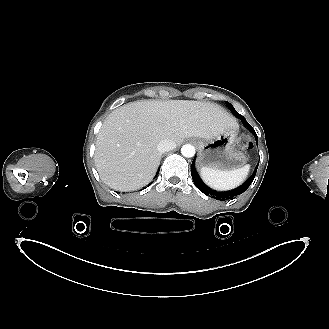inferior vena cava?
Returning a JSON list of instances; mask_svg holds the SVG:
<instances>
[{"label": "inferior vena cava", "mask_w": 329, "mask_h": 329, "mask_svg": "<svg viewBox=\"0 0 329 329\" xmlns=\"http://www.w3.org/2000/svg\"><path fill=\"white\" fill-rule=\"evenodd\" d=\"M176 147V143L171 139L161 140L157 145V150L160 153L170 151Z\"/></svg>", "instance_id": "inferior-vena-cava-1"}]
</instances>
